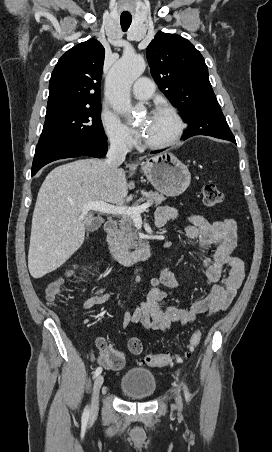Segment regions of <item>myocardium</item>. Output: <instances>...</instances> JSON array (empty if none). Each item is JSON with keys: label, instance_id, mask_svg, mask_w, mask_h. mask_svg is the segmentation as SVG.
<instances>
[{"label": "myocardium", "instance_id": "1", "mask_svg": "<svg viewBox=\"0 0 272 452\" xmlns=\"http://www.w3.org/2000/svg\"><path fill=\"white\" fill-rule=\"evenodd\" d=\"M155 113H164L173 120L174 122L173 133L170 135L169 138L161 142H148L143 139L142 145L149 149H166L175 145L182 137L185 129V124L182 117L175 108L167 105L155 107V109L153 110V114Z\"/></svg>", "mask_w": 272, "mask_h": 452}]
</instances>
